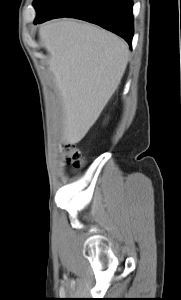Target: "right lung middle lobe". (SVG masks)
<instances>
[{"mask_svg": "<svg viewBox=\"0 0 181 300\" xmlns=\"http://www.w3.org/2000/svg\"><path fill=\"white\" fill-rule=\"evenodd\" d=\"M58 1L59 0H34V7L37 16L44 15L47 12V10Z\"/></svg>", "mask_w": 181, "mask_h": 300, "instance_id": "right-lung-middle-lobe-1", "label": "right lung middle lobe"}]
</instances>
